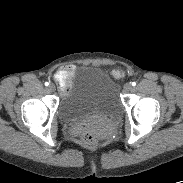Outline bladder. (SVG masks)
Masks as SVG:
<instances>
[{"label":"bladder","mask_w":183,"mask_h":183,"mask_svg":"<svg viewBox=\"0 0 183 183\" xmlns=\"http://www.w3.org/2000/svg\"><path fill=\"white\" fill-rule=\"evenodd\" d=\"M59 111L63 119L70 122L93 116L115 119L122 111L118 87L110 76L91 69L80 86L62 95Z\"/></svg>","instance_id":"obj_1"}]
</instances>
